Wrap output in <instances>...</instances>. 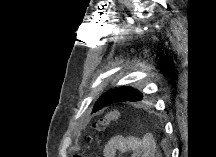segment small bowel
Returning <instances> with one entry per match:
<instances>
[{"mask_svg": "<svg viewBox=\"0 0 216 157\" xmlns=\"http://www.w3.org/2000/svg\"><path fill=\"white\" fill-rule=\"evenodd\" d=\"M117 152L130 153L132 157H154L156 154V141L152 134L142 137L114 136L103 148L104 157H115Z\"/></svg>", "mask_w": 216, "mask_h": 157, "instance_id": "c3829d8e", "label": "small bowel"}]
</instances>
